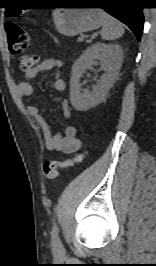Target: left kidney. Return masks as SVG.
<instances>
[{
    "label": "left kidney",
    "instance_id": "5707ae66",
    "mask_svg": "<svg viewBox=\"0 0 156 266\" xmlns=\"http://www.w3.org/2000/svg\"><path fill=\"white\" fill-rule=\"evenodd\" d=\"M123 52L118 44L96 43L88 47L72 66L70 101L77 111H86L98 105L115 82L122 64ZM101 65L104 74L92 92H82L80 78L92 65Z\"/></svg>",
    "mask_w": 156,
    "mask_h": 266
}]
</instances>
